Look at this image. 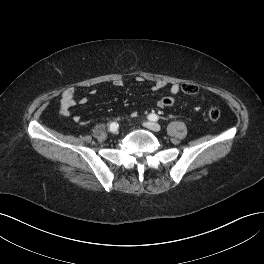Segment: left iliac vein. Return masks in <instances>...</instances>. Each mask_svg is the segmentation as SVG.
Wrapping results in <instances>:
<instances>
[{
    "label": "left iliac vein",
    "instance_id": "1",
    "mask_svg": "<svg viewBox=\"0 0 264 264\" xmlns=\"http://www.w3.org/2000/svg\"><path fill=\"white\" fill-rule=\"evenodd\" d=\"M144 126L155 132H158L161 130V126L158 123L151 122V121L145 122Z\"/></svg>",
    "mask_w": 264,
    "mask_h": 264
}]
</instances>
